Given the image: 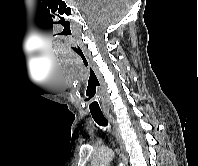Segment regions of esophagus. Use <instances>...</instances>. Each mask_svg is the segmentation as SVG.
Wrapping results in <instances>:
<instances>
[{"label":"esophagus","instance_id":"esophagus-1","mask_svg":"<svg viewBox=\"0 0 198 166\" xmlns=\"http://www.w3.org/2000/svg\"><path fill=\"white\" fill-rule=\"evenodd\" d=\"M106 118L113 125L114 131H115V135H116L117 141H118L119 146H120V150H121V155H122V159H123V162H124V166H128V157H127V153H126L125 142H124V139H123V137L121 135L120 128H119L116 120L114 119V117L112 115L106 114Z\"/></svg>","mask_w":198,"mask_h":166}]
</instances>
